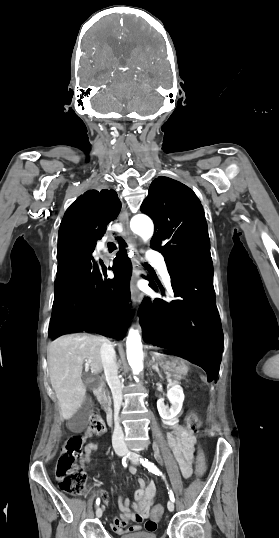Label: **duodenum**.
I'll return each mask as SVG.
<instances>
[{
  "mask_svg": "<svg viewBox=\"0 0 279 538\" xmlns=\"http://www.w3.org/2000/svg\"><path fill=\"white\" fill-rule=\"evenodd\" d=\"M106 386H107V383L105 381H102L100 383V386H99V391H104V388ZM97 398H100V395H97ZM105 405L108 407V409L106 410V413H107L106 417L107 418L105 419V422L107 423L106 427L108 429H111L113 427V424H112L113 419H112V417H113V413H114V410L111 408L112 402L110 400H107L105 402Z\"/></svg>",
  "mask_w": 279,
  "mask_h": 538,
  "instance_id": "duodenum-1",
  "label": "duodenum"
}]
</instances>
